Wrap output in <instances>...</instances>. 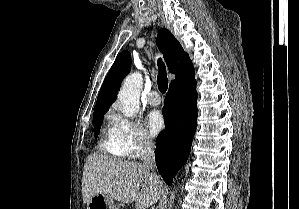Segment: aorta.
<instances>
[{"instance_id":"aorta-1","label":"aorta","mask_w":299,"mask_h":209,"mask_svg":"<svg viewBox=\"0 0 299 209\" xmlns=\"http://www.w3.org/2000/svg\"><path fill=\"white\" fill-rule=\"evenodd\" d=\"M143 86V78L140 73H133L126 77L118 93V100L123 107L124 116L132 118L140 107V92ZM175 194L170 197L171 204L173 203ZM171 207V205H170Z\"/></svg>"}]
</instances>
